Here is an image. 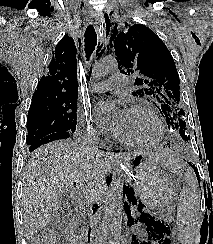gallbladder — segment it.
Wrapping results in <instances>:
<instances>
[{"label": "gallbladder", "instance_id": "gallbladder-1", "mask_svg": "<svg viewBox=\"0 0 213 244\" xmlns=\"http://www.w3.org/2000/svg\"><path fill=\"white\" fill-rule=\"evenodd\" d=\"M69 221L70 213L68 209L60 205L55 214L52 215L48 227L52 230L59 231L64 229L69 224Z\"/></svg>", "mask_w": 213, "mask_h": 244}]
</instances>
